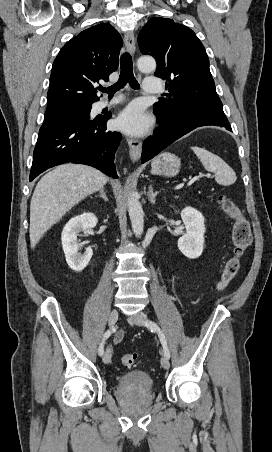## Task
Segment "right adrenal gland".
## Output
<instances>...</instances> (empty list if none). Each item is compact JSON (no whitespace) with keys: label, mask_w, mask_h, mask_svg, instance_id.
Returning <instances> with one entry per match:
<instances>
[{"label":"right adrenal gland","mask_w":272,"mask_h":452,"mask_svg":"<svg viewBox=\"0 0 272 452\" xmlns=\"http://www.w3.org/2000/svg\"><path fill=\"white\" fill-rule=\"evenodd\" d=\"M96 197H101V198H103L104 199V201H108V198H107V196H106V193H105V189L104 188H101L100 189V191H99V195H96Z\"/></svg>","instance_id":"obj_1"}]
</instances>
